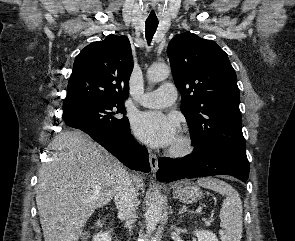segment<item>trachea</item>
<instances>
[{
	"label": "trachea",
	"instance_id": "trachea-1",
	"mask_svg": "<svg viewBox=\"0 0 295 241\" xmlns=\"http://www.w3.org/2000/svg\"><path fill=\"white\" fill-rule=\"evenodd\" d=\"M157 27H158V20L146 21L145 35H146V39L148 43H151V40L156 32Z\"/></svg>",
	"mask_w": 295,
	"mask_h": 241
}]
</instances>
